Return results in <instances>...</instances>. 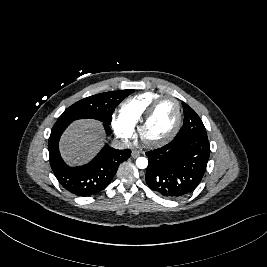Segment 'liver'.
Wrapping results in <instances>:
<instances>
[{"label": "liver", "mask_w": 267, "mask_h": 267, "mask_svg": "<svg viewBox=\"0 0 267 267\" xmlns=\"http://www.w3.org/2000/svg\"><path fill=\"white\" fill-rule=\"evenodd\" d=\"M103 140V127L99 121H75L61 137V155L69 165H81L97 153Z\"/></svg>", "instance_id": "liver-1"}]
</instances>
